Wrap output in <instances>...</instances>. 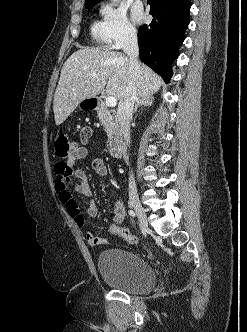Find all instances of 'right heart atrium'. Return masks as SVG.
<instances>
[{"mask_svg":"<svg viewBox=\"0 0 247 332\" xmlns=\"http://www.w3.org/2000/svg\"><path fill=\"white\" fill-rule=\"evenodd\" d=\"M101 12L105 33L112 48L119 49L136 38V28L123 6L111 1L103 5Z\"/></svg>","mask_w":247,"mask_h":332,"instance_id":"obj_1","label":"right heart atrium"}]
</instances>
